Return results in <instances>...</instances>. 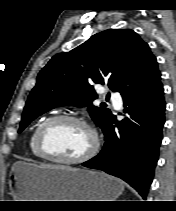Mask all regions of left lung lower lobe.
<instances>
[{
    "label": "left lung lower lobe",
    "mask_w": 176,
    "mask_h": 211,
    "mask_svg": "<svg viewBox=\"0 0 176 211\" xmlns=\"http://www.w3.org/2000/svg\"><path fill=\"white\" fill-rule=\"evenodd\" d=\"M160 76L123 97L124 111L134 122L127 117L120 122L112 119L104 131V148L82 164L123 179L144 199L153 179L165 123L166 104Z\"/></svg>",
    "instance_id": "1"
}]
</instances>
